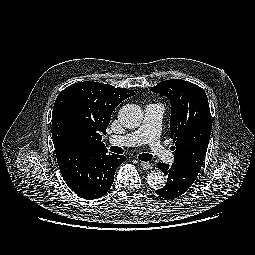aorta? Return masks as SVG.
I'll use <instances>...</instances> for the list:
<instances>
[{"instance_id":"762f6f07","label":"aorta","mask_w":255,"mask_h":255,"mask_svg":"<svg viewBox=\"0 0 255 255\" xmlns=\"http://www.w3.org/2000/svg\"><path fill=\"white\" fill-rule=\"evenodd\" d=\"M118 120L125 128H136L143 120V111L139 105L127 104L119 110ZM166 181V176L160 170H153L147 176L148 185L155 190L163 188Z\"/></svg>"}]
</instances>
